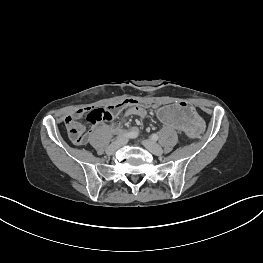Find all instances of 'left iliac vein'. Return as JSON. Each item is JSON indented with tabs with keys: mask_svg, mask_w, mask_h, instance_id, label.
Returning a JSON list of instances; mask_svg holds the SVG:
<instances>
[{
	"mask_svg": "<svg viewBox=\"0 0 263 263\" xmlns=\"http://www.w3.org/2000/svg\"><path fill=\"white\" fill-rule=\"evenodd\" d=\"M144 147L149 150L151 153L157 156H161L163 154V149L153 140H143Z\"/></svg>",
	"mask_w": 263,
	"mask_h": 263,
	"instance_id": "1",
	"label": "left iliac vein"
}]
</instances>
